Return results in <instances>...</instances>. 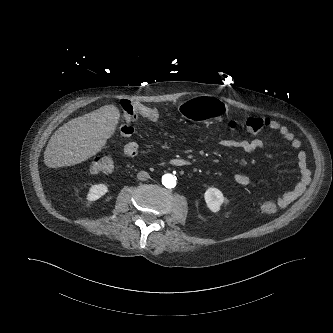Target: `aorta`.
<instances>
[{
	"label": "aorta",
	"mask_w": 333,
	"mask_h": 333,
	"mask_svg": "<svg viewBox=\"0 0 333 333\" xmlns=\"http://www.w3.org/2000/svg\"><path fill=\"white\" fill-rule=\"evenodd\" d=\"M162 184L166 188H173L176 185V180L173 175L171 174H166L162 177Z\"/></svg>",
	"instance_id": "aorta-1"
}]
</instances>
